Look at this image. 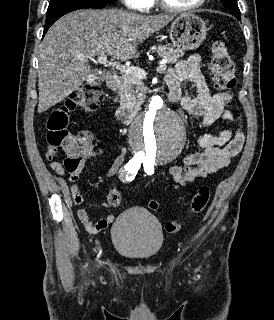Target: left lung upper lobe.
<instances>
[{
	"instance_id": "obj_1",
	"label": "left lung upper lobe",
	"mask_w": 274,
	"mask_h": 320,
	"mask_svg": "<svg viewBox=\"0 0 274 320\" xmlns=\"http://www.w3.org/2000/svg\"><path fill=\"white\" fill-rule=\"evenodd\" d=\"M224 7L229 9L233 14H240L237 0H220Z\"/></svg>"
}]
</instances>
